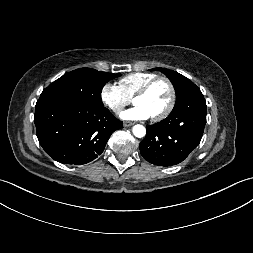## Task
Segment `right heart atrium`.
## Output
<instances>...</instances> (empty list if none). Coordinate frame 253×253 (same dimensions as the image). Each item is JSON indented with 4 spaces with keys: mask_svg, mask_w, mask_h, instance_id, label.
I'll list each match as a JSON object with an SVG mask.
<instances>
[{
    "mask_svg": "<svg viewBox=\"0 0 253 253\" xmlns=\"http://www.w3.org/2000/svg\"><path fill=\"white\" fill-rule=\"evenodd\" d=\"M102 102L114 113L121 112L131 102V98L118 84L107 82L100 91Z\"/></svg>",
    "mask_w": 253,
    "mask_h": 253,
    "instance_id": "d8ad5b80",
    "label": "right heart atrium"
}]
</instances>
